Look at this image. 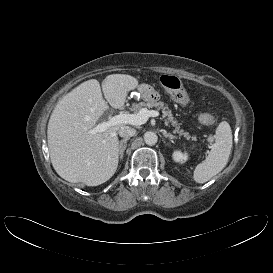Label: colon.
Listing matches in <instances>:
<instances>
[{
  "instance_id": "1",
  "label": "colon",
  "mask_w": 273,
  "mask_h": 273,
  "mask_svg": "<svg viewBox=\"0 0 273 273\" xmlns=\"http://www.w3.org/2000/svg\"><path fill=\"white\" fill-rule=\"evenodd\" d=\"M161 82L163 86L170 91L176 101L183 104L188 103V94L177 77L173 75H163L161 77ZM199 121L202 124L211 125L216 119L211 114L203 113L199 116Z\"/></svg>"
}]
</instances>
